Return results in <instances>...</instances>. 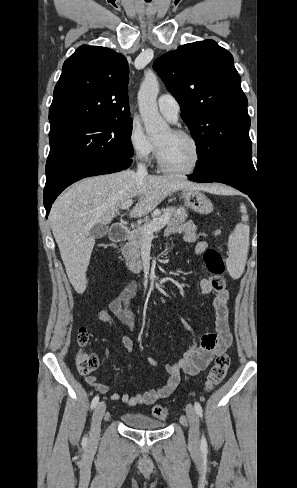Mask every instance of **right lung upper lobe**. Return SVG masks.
<instances>
[{
	"mask_svg": "<svg viewBox=\"0 0 297 488\" xmlns=\"http://www.w3.org/2000/svg\"><path fill=\"white\" fill-rule=\"evenodd\" d=\"M129 66L112 49L82 45L64 62L49 109L50 133L129 119Z\"/></svg>",
	"mask_w": 297,
	"mask_h": 488,
	"instance_id": "cb5924a9",
	"label": "right lung upper lobe"
}]
</instances>
